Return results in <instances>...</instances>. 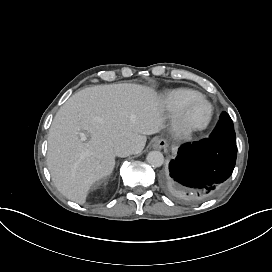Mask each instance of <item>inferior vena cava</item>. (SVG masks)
I'll list each match as a JSON object with an SVG mask.
<instances>
[{
    "mask_svg": "<svg viewBox=\"0 0 272 272\" xmlns=\"http://www.w3.org/2000/svg\"><path fill=\"white\" fill-rule=\"evenodd\" d=\"M115 155L118 157H127L136 152V146L128 139H123L114 147Z\"/></svg>",
    "mask_w": 272,
    "mask_h": 272,
    "instance_id": "1",
    "label": "inferior vena cava"
}]
</instances>
